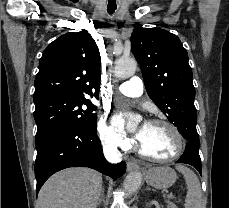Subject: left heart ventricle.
<instances>
[{
	"mask_svg": "<svg viewBox=\"0 0 229 208\" xmlns=\"http://www.w3.org/2000/svg\"><path fill=\"white\" fill-rule=\"evenodd\" d=\"M170 130L173 129L162 124L147 123L144 126V132L140 140L143 143V147L146 148V152H150V157H169L181 149L182 141L180 147H175L171 139Z\"/></svg>",
	"mask_w": 229,
	"mask_h": 208,
	"instance_id": "1",
	"label": "left heart ventricle"
}]
</instances>
